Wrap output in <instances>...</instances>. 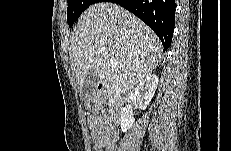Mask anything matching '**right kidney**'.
I'll list each match as a JSON object with an SVG mask.
<instances>
[{"label":"right kidney","mask_w":231,"mask_h":151,"mask_svg":"<svg viewBox=\"0 0 231 151\" xmlns=\"http://www.w3.org/2000/svg\"><path fill=\"white\" fill-rule=\"evenodd\" d=\"M159 79L156 75H149L144 78L135 88L134 100L141 110H145L153 98L158 86ZM134 117L131 112L123 108L120 117L121 131L127 132L134 124Z\"/></svg>","instance_id":"ca27d5eb"}]
</instances>
